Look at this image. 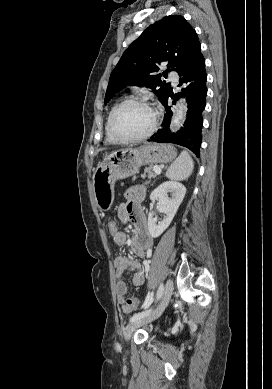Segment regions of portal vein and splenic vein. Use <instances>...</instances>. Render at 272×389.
Here are the masks:
<instances>
[{
    "label": "portal vein and splenic vein",
    "instance_id": "18ae733b",
    "mask_svg": "<svg viewBox=\"0 0 272 389\" xmlns=\"http://www.w3.org/2000/svg\"><path fill=\"white\" fill-rule=\"evenodd\" d=\"M153 171L156 173V174H160L161 173V168L159 166H154L153 167Z\"/></svg>",
    "mask_w": 272,
    "mask_h": 389
}]
</instances>
